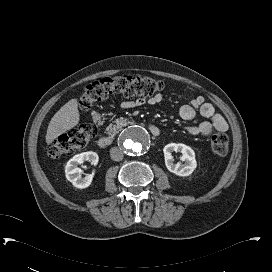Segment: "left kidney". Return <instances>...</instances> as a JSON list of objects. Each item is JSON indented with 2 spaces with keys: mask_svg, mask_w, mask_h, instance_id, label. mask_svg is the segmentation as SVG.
Returning a JSON list of instances; mask_svg holds the SVG:
<instances>
[{
  "mask_svg": "<svg viewBox=\"0 0 272 272\" xmlns=\"http://www.w3.org/2000/svg\"><path fill=\"white\" fill-rule=\"evenodd\" d=\"M174 151L182 153L181 160L185 162L184 164L174 163V159L172 156V152ZM163 152L167 169L175 175L181 177L189 176L197 167L194 150L185 144H167L164 147Z\"/></svg>",
  "mask_w": 272,
  "mask_h": 272,
  "instance_id": "left-kidney-1",
  "label": "left kidney"
}]
</instances>
